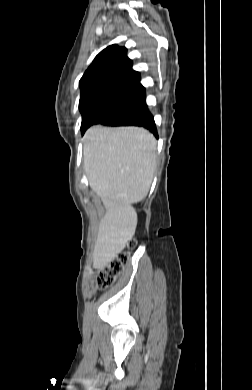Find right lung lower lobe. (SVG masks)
Masks as SVG:
<instances>
[{
    "label": "right lung lower lobe",
    "instance_id": "right-lung-lower-lobe-1",
    "mask_svg": "<svg viewBox=\"0 0 252 390\" xmlns=\"http://www.w3.org/2000/svg\"><path fill=\"white\" fill-rule=\"evenodd\" d=\"M103 124L110 126L134 125L144 127L158 137L155 122L152 114L149 112L145 98L132 107L111 117Z\"/></svg>",
    "mask_w": 252,
    "mask_h": 390
}]
</instances>
